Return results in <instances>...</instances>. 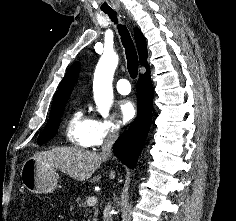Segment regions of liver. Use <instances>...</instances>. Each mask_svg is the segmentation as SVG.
I'll return each instance as SVG.
<instances>
[{
  "label": "liver",
  "mask_w": 236,
  "mask_h": 221,
  "mask_svg": "<svg viewBox=\"0 0 236 221\" xmlns=\"http://www.w3.org/2000/svg\"><path fill=\"white\" fill-rule=\"evenodd\" d=\"M34 159L44 162L47 166L59 169L62 173L78 181H85L91 178L92 174L106 161L107 157L96 152L85 151L73 147H56L52 150L37 152ZM115 176L110 171L109 177ZM101 175L91 179L92 183L99 182Z\"/></svg>",
  "instance_id": "6515ba94"
}]
</instances>
